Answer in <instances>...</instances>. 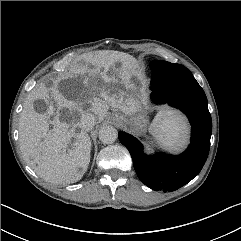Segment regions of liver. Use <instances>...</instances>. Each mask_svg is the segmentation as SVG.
Listing matches in <instances>:
<instances>
[{
  "label": "liver",
  "instance_id": "6515ba94",
  "mask_svg": "<svg viewBox=\"0 0 241 241\" xmlns=\"http://www.w3.org/2000/svg\"><path fill=\"white\" fill-rule=\"evenodd\" d=\"M89 61L92 68L74 66L68 73L54 80L52 87L47 88L41 84L32 90L24 103L19 122L21 150L34 171L52 183L77 182L87 171L92 144L87 132L79 125L80 118L85 113L91 112L101 122L110 107L131 116L141 104L133 85H128L137 65L134 57L123 52L106 50L91 56ZM116 65H119L118 77L127 80V91L117 90L110 95L111 85L116 83L117 78L109 71L111 68L115 69ZM84 74H87L83 79L86 91L79 93L73 100L68 99L60 91L59 84L62 82V85H71L76 83L74 80H77L78 75ZM131 89L134 91L128 94ZM51 99L58 106L52 120L50 115L38 113L34 108L35 100H43L49 105ZM63 108L70 112L69 122L60 120V110ZM77 129L80 131L77 132Z\"/></svg>",
  "mask_w": 241,
  "mask_h": 241
}]
</instances>
